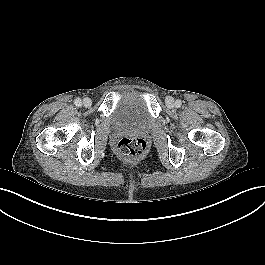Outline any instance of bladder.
Masks as SVG:
<instances>
[{
    "instance_id": "obj_1",
    "label": "bladder",
    "mask_w": 265,
    "mask_h": 265,
    "mask_svg": "<svg viewBox=\"0 0 265 265\" xmlns=\"http://www.w3.org/2000/svg\"><path fill=\"white\" fill-rule=\"evenodd\" d=\"M110 120L113 126L119 128H148L153 117L144 92L139 89H126L117 99Z\"/></svg>"
}]
</instances>
